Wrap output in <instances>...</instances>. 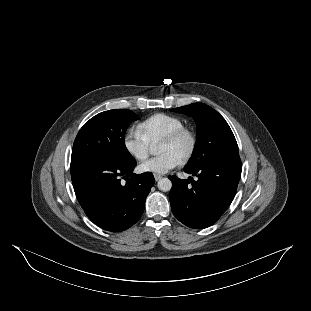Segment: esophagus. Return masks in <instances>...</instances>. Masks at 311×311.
I'll return each instance as SVG.
<instances>
[{
	"label": "esophagus",
	"mask_w": 311,
	"mask_h": 311,
	"mask_svg": "<svg viewBox=\"0 0 311 311\" xmlns=\"http://www.w3.org/2000/svg\"><path fill=\"white\" fill-rule=\"evenodd\" d=\"M154 175V178H155V181H158V180H160L161 179V175H159V174H153Z\"/></svg>",
	"instance_id": "34e87169"
}]
</instances>
